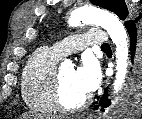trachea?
<instances>
[{
  "mask_svg": "<svg viewBox=\"0 0 142 119\" xmlns=\"http://www.w3.org/2000/svg\"><path fill=\"white\" fill-rule=\"evenodd\" d=\"M101 48H102V49H108V48H110V46H109V44H103V45L101 46Z\"/></svg>",
  "mask_w": 142,
  "mask_h": 119,
  "instance_id": "3493384b",
  "label": "trachea"
}]
</instances>
